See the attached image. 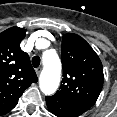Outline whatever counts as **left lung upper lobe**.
<instances>
[{"instance_id":"5c2ea615","label":"left lung upper lobe","mask_w":117,"mask_h":117,"mask_svg":"<svg viewBox=\"0 0 117 117\" xmlns=\"http://www.w3.org/2000/svg\"><path fill=\"white\" fill-rule=\"evenodd\" d=\"M62 84L53 96L81 112L97 101L103 86V66L92 47L79 35L67 33L62 38Z\"/></svg>"}]
</instances>
